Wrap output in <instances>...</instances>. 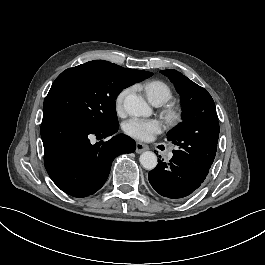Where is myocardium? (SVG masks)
I'll return each instance as SVG.
<instances>
[{
  "mask_svg": "<svg viewBox=\"0 0 265 265\" xmlns=\"http://www.w3.org/2000/svg\"><path fill=\"white\" fill-rule=\"evenodd\" d=\"M162 117L171 128L180 126L184 121V109L175 101H167L163 104Z\"/></svg>",
  "mask_w": 265,
  "mask_h": 265,
  "instance_id": "myocardium-1",
  "label": "myocardium"
}]
</instances>
